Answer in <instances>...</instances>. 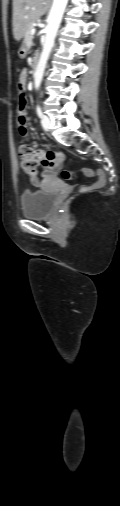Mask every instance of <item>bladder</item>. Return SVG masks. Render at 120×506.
<instances>
[{"mask_svg":"<svg viewBox=\"0 0 120 506\" xmlns=\"http://www.w3.org/2000/svg\"><path fill=\"white\" fill-rule=\"evenodd\" d=\"M55 201L56 193L53 191H24L20 196L22 215L32 219L47 217Z\"/></svg>","mask_w":120,"mask_h":506,"instance_id":"31cf9c89","label":"bladder"}]
</instances>
